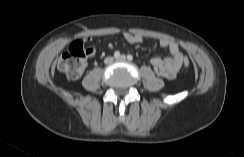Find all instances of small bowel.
<instances>
[{"label": "small bowel", "mask_w": 244, "mask_h": 157, "mask_svg": "<svg viewBox=\"0 0 244 157\" xmlns=\"http://www.w3.org/2000/svg\"><path fill=\"white\" fill-rule=\"evenodd\" d=\"M125 40L130 44H139L143 41L142 36L137 34L125 33ZM159 44L161 47L167 48L170 52V57L160 58L153 57L150 60L151 66L153 67L155 73L163 78L173 79L179 72L183 63V53L181 52L178 44L167 37L159 39Z\"/></svg>", "instance_id": "obj_1"}]
</instances>
